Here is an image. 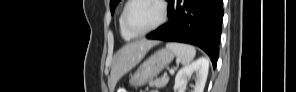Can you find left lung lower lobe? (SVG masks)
<instances>
[{
    "mask_svg": "<svg viewBox=\"0 0 296 92\" xmlns=\"http://www.w3.org/2000/svg\"><path fill=\"white\" fill-rule=\"evenodd\" d=\"M170 20L148 39L189 43L203 49L215 68L223 19V0H169Z\"/></svg>",
    "mask_w": 296,
    "mask_h": 92,
    "instance_id": "obj_1",
    "label": "left lung lower lobe"
}]
</instances>
